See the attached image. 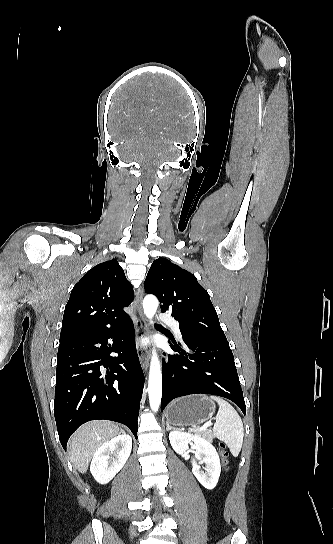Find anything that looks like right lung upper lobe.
Instances as JSON below:
<instances>
[{
    "instance_id": "obj_1",
    "label": "right lung upper lobe",
    "mask_w": 333,
    "mask_h": 544,
    "mask_svg": "<svg viewBox=\"0 0 333 544\" xmlns=\"http://www.w3.org/2000/svg\"><path fill=\"white\" fill-rule=\"evenodd\" d=\"M133 286L116 259L89 270L73 287L64 310L60 341L107 329L128 314Z\"/></svg>"
}]
</instances>
